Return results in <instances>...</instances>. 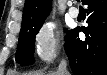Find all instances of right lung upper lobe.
Instances as JSON below:
<instances>
[{"instance_id":"obj_1","label":"right lung upper lobe","mask_w":107,"mask_h":75,"mask_svg":"<svg viewBox=\"0 0 107 75\" xmlns=\"http://www.w3.org/2000/svg\"><path fill=\"white\" fill-rule=\"evenodd\" d=\"M84 0H82L83 2ZM51 10L50 0H25L23 21L24 23H44Z\"/></svg>"}]
</instances>
